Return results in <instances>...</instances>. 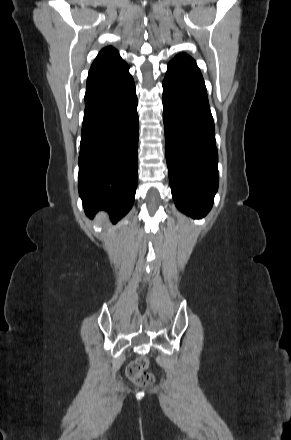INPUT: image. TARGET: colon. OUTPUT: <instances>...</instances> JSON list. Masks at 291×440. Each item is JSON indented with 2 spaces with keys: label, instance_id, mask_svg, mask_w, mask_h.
I'll list each match as a JSON object with an SVG mask.
<instances>
[{
  "label": "colon",
  "instance_id": "obj_1",
  "mask_svg": "<svg viewBox=\"0 0 291 440\" xmlns=\"http://www.w3.org/2000/svg\"><path fill=\"white\" fill-rule=\"evenodd\" d=\"M148 360L140 357L127 365V376L137 385H143L153 381V375L147 371Z\"/></svg>",
  "mask_w": 291,
  "mask_h": 440
}]
</instances>
